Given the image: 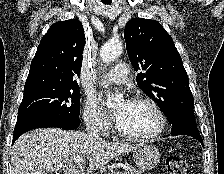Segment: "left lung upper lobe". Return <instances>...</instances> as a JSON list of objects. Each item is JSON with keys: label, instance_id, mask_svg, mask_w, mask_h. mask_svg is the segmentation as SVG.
<instances>
[{"label": "left lung upper lobe", "instance_id": "left-lung-upper-lobe-1", "mask_svg": "<svg viewBox=\"0 0 224 174\" xmlns=\"http://www.w3.org/2000/svg\"><path fill=\"white\" fill-rule=\"evenodd\" d=\"M124 38L140 89L157 102L169 122L183 109H193L194 99L182 59L159 22L131 19Z\"/></svg>", "mask_w": 224, "mask_h": 174}]
</instances>
